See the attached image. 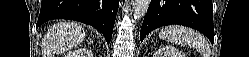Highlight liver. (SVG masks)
<instances>
[{
    "instance_id": "1",
    "label": "liver",
    "mask_w": 249,
    "mask_h": 57,
    "mask_svg": "<svg viewBox=\"0 0 249 57\" xmlns=\"http://www.w3.org/2000/svg\"><path fill=\"white\" fill-rule=\"evenodd\" d=\"M86 36L82 25L75 22L54 24L42 40L43 57H52L77 47Z\"/></svg>"
}]
</instances>
